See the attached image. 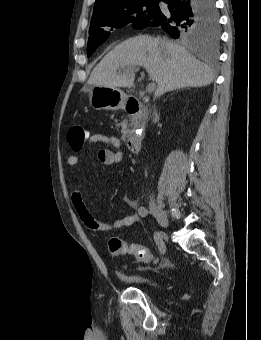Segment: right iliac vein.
Returning a JSON list of instances; mask_svg holds the SVG:
<instances>
[{"instance_id":"63e3f726","label":"right iliac vein","mask_w":261,"mask_h":340,"mask_svg":"<svg viewBox=\"0 0 261 340\" xmlns=\"http://www.w3.org/2000/svg\"><path fill=\"white\" fill-rule=\"evenodd\" d=\"M150 209H151L152 213L154 214L158 223L163 228H167L169 226V221H168V217H167L165 211L159 205H157L155 202H150Z\"/></svg>"}]
</instances>
